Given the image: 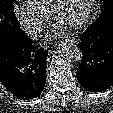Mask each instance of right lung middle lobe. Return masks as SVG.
I'll return each instance as SVG.
<instances>
[{
  "mask_svg": "<svg viewBox=\"0 0 113 113\" xmlns=\"http://www.w3.org/2000/svg\"><path fill=\"white\" fill-rule=\"evenodd\" d=\"M15 0H0V37L5 35L12 27L18 26L14 13Z\"/></svg>",
  "mask_w": 113,
  "mask_h": 113,
  "instance_id": "obj_1",
  "label": "right lung middle lobe"
}]
</instances>
